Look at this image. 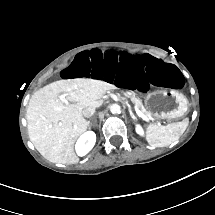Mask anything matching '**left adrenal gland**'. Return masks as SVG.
<instances>
[{"mask_svg":"<svg viewBox=\"0 0 215 215\" xmlns=\"http://www.w3.org/2000/svg\"><path fill=\"white\" fill-rule=\"evenodd\" d=\"M129 115H130V117H131L132 119L137 120L136 115L132 112V110H131V109H129Z\"/></svg>","mask_w":215,"mask_h":215,"instance_id":"left-adrenal-gland-1","label":"left adrenal gland"}]
</instances>
